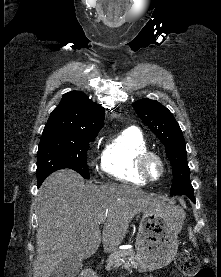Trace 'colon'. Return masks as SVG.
Instances as JSON below:
<instances>
[{
    "instance_id": "1",
    "label": "colon",
    "mask_w": 221,
    "mask_h": 277,
    "mask_svg": "<svg viewBox=\"0 0 221 277\" xmlns=\"http://www.w3.org/2000/svg\"><path fill=\"white\" fill-rule=\"evenodd\" d=\"M175 266L184 277H214L211 268L200 267L198 258L188 253H179L175 258Z\"/></svg>"
}]
</instances>
